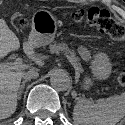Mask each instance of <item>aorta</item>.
Returning <instances> with one entry per match:
<instances>
[{
	"label": "aorta",
	"instance_id": "762f6f07",
	"mask_svg": "<svg viewBox=\"0 0 125 125\" xmlns=\"http://www.w3.org/2000/svg\"><path fill=\"white\" fill-rule=\"evenodd\" d=\"M51 85L58 91H66L71 86L69 75L63 70H56L50 77Z\"/></svg>",
	"mask_w": 125,
	"mask_h": 125
}]
</instances>
